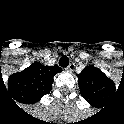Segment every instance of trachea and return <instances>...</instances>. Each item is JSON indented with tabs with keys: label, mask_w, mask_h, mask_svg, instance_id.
Masks as SVG:
<instances>
[{
	"label": "trachea",
	"mask_w": 124,
	"mask_h": 124,
	"mask_svg": "<svg viewBox=\"0 0 124 124\" xmlns=\"http://www.w3.org/2000/svg\"><path fill=\"white\" fill-rule=\"evenodd\" d=\"M59 64L63 67H66L69 64V58L67 56H62L59 60Z\"/></svg>",
	"instance_id": "1"
}]
</instances>
